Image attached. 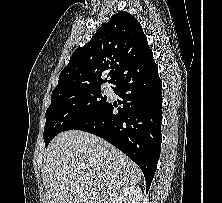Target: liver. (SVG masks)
<instances>
[{"label":"liver","mask_w":222,"mask_h":203,"mask_svg":"<svg viewBox=\"0 0 222 203\" xmlns=\"http://www.w3.org/2000/svg\"><path fill=\"white\" fill-rule=\"evenodd\" d=\"M141 175L120 150L81 130L60 133L44 154L47 203H106Z\"/></svg>","instance_id":"1"}]
</instances>
